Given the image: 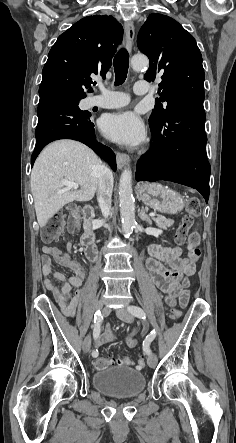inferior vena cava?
Here are the masks:
<instances>
[{
  "label": "inferior vena cava",
  "instance_id": "inferior-vena-cava-1",
  "mask_svg": "<svg viewBox=\"0 0 236 443\" xmlns=\"http://www.w3.org/2000/svg\"><path fill=\"white\" fill-rule=\"evenodd\" d=\"M113 174L106 166L98 170L97 200L104 218L110 215L112 204Z\"/></svg>",
  "mask_w": 236,
  "mask_h": 443
}]
</instances>
